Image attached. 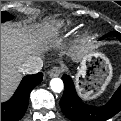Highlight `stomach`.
I'll return each instance as SVG.
<instances>
[{"instance_id":"obj_1","label":"stomach","mask_w":121,"mask_h":121,"mask_svg":"<svg viewBox=\"0 0 121 121\" xmlns=\"http://www.w3.org/2000/svg\"><path fill=\"white\" fill-rule=\"evenodd\" d=\"M112 66L101 53H93L82 61L76 75L77 83L81 84L80 95L86 99L99 96L112 78Z\"/></svg>"}]
</instances>
